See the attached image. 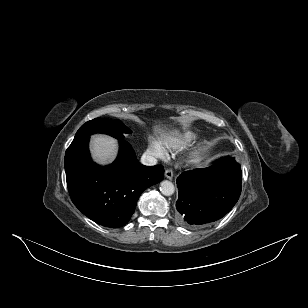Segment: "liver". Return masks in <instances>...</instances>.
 <instances>
[{
    "instance_id": "obj_1",
    "label": "liver",
    "mask_w": 308,
    "mask_h": 308,
    "mask_svg": "<svg viewBox=\"0 0 308 308\" xmlns=\"http://www.w3.org/2000/svg\"><path fill=\"white\" fill-rule=\"evenodd\" d=\"M154 130L155 132H162V129L159 126H155ZM90 150L95 162L99 164L110 163L117 155V140L103 134L94 135L91 138Z\"/></svg>"
}]
</instances>
